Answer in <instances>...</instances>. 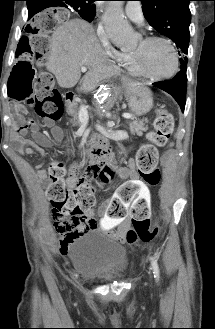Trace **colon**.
<instances>
[{"instance_id":"colon-1","label":"colon","mask_w":215,"mask_h":329,"mask_svg":"<svg viewBox=\"0 0 215 329\" xmlns=\"http://www.w3.org/2000/svg\"><path fill=\"white\" fill-rule=\"evenodd\" d=\"M70 14L50 11L48 14H33L29 25H25V36L19 37V55L13 56L10 73L13 74L9 86L5 87L10 103H19V109H28L29 105L41 118L58 120L61 115V95L53 86V76L43 69L36 71L34 64H42L48 49L46 38H53L56 26H64L70 21ZM8 62V61H7ZM8 68V67H7ZM174 129L173 115L160 108L154 122V130L148 133V143L137 152L136 163L143 181L151 187L160 182L158 147L164 146ZM50 185L47 196L60 221L58 225H67L86 217L95 203L96 189L91 178H98L103 185H108L114 173L108 167H89L84 175L75 172V184L66 177L64 164L53 162L49 167ZM149 201L150 206V199ZM112 203V202H111ZM130 211V210H129ZM163 219L162 215L158 216ZM159 234V227H150V218H132V228L127 231L130 240L139 239L149 242Z\"/></svg>"}]
</instances>
